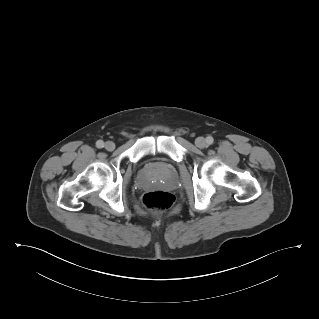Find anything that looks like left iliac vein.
Segmentation results:
<instances>
[{
  "mask_svg": "<svg viewBox=\"0 0 319 319\" xmlns=\"http://www.w3.org/2000/svg\"><path fill=\"white\" fill-rule=\"evenodd\" d=\"M195 145L198 147V148H205L207 146V142L206 140L203 138V137H198L196 138L195 140Z\"/></svg>",
  "mask_w": 319,
  "mask_h": 319,
  "instance_id": "left-iliac-vein-1",
  "label": "left iliac vein"
}]
</instances>
